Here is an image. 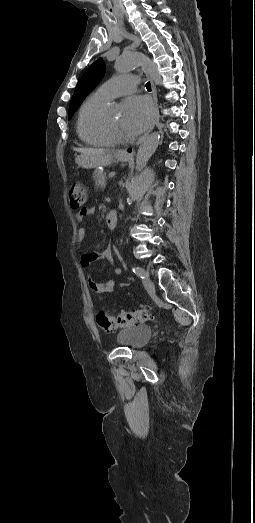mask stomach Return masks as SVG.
<instances>
[{"label":"stomach","instance_id":"0dacf381","mask_svg":"<svg viewBox=\"0 0 255 523\" xmlns=\"http://www.w3.org/2000/svg\"><path fill=\"white\" fill-rule=\"evenodd\" d=\"M132 158L131 152H128V150H120V152H117L115 156H98L97 152L90 151L88 152L87 156H77L76 158V164H78L79 168H87V170H90V168H102V166H109V164H112L114 160H118V162H128Z\"/></svg>","mask_w":255,"mask_h":523}]
</instances>
